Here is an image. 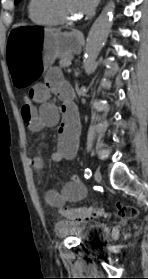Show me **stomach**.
Masks as SVG:
<instances>
[{
	"label": "stomach",
	"instance_id": "obj_1",
	"mask_svg": "<svg viewBox=\"0 0 148 279\" xmlns=\"http://www.w3.org/2000/svg\"><path fill=\"white\" fill-rule=\"evenodd\" d=\"M5 50L10 69L8 78H12L15 91H30L36 82L50 69L57 57H65L81 50L78 32L56 33L46 31V25H16L6 34ZM42 49V50H35Z\"/></svg>",
	"mask_w": 148,
	"mask_h": 279
}]
</instances>
